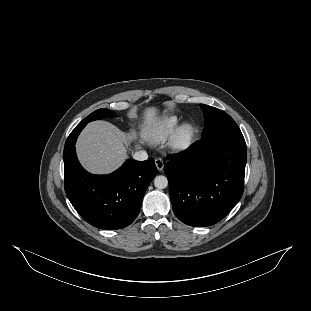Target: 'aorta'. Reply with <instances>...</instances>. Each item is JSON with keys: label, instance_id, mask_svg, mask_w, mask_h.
<instances>
[{"label": "aorta", "instance_id": "1", "mask_svg": "<svg viewBox=\"0 0 311 311\" xmlns=\"http://www.w3.org/2000/svg\"><path fill=\"white\" fill-rule=\"evenodd\" d=\"M154 186L158 189H164L168 186V179L166 176L158 175L154 178Z\"/></svg>", "mask_w": 311, "mask_h": 311}]
</instances>
